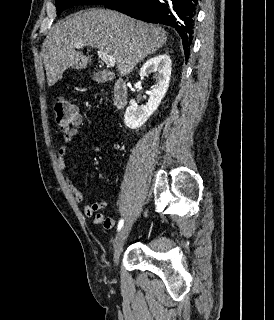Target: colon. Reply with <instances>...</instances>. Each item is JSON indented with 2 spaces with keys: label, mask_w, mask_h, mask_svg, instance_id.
<instances>
[{
  "label": "colon",
  "mask_w": 274,
  "mask_h": 320,
  "mask_svg": "<svg viewBox=\"0 0 274 320\" xmlns=\"http://www.w3.org/2000/svg\"><path fill=\"white\" fill-rule=\"evenodd\" d=\"M53 108L55 111V123L62 132H67V127H73V120H81L79 110L63 96H59L54 100Z\"/></svg>",
  "instance_id": "obj_1"
}]
</instances>
